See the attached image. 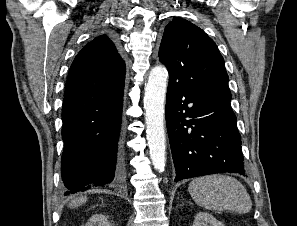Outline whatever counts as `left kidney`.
Masks as SVG:
<instances>
[{"instance_id": "1", "label": "left kidney", "mask_w": 297, "mask_h": 226, "mask_svg": "<svg viewBox=\"0 0 297 226\" xmlns=\"http://www.w3.org/2000/svg\"><path fill=\"white\" fill-rule=\"evenodd\" d=\"M193 226H225L223 223L206 212H199L195 216Z\"/></svg>"}]
</instances>
